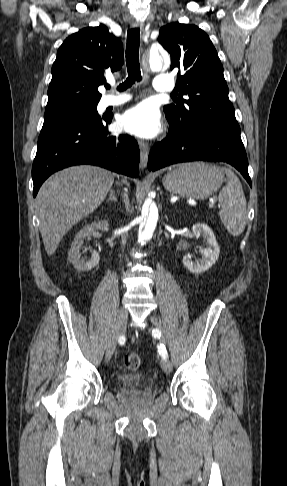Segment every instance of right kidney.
Masks as SVG:
<instances>
[{"instance_id": "1", "label": "right kidney", "mask_w": 287, "mask_h": 486, "mask_svg": "<svg viewBox=\"0 0 287 486\" xmlns=\"http://www.w3.org/2000/svg\"><path fill=\"white\" fill-rule=\"evenodd\" d=\"M100 229L103 231L109 230V224L106 220L94 221L91 224L86 225L82 228L75 236L71 248L68 252V260L74 265L75 269L84 272L89 271L99 264L100 255L97 252L92 253L90 259H85L81 257L80 250L82 248L85 238H90L95 230Z\"/></svg>"}]
</instances>
